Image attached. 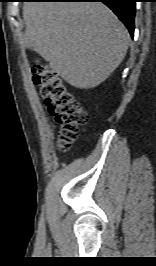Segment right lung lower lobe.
Here are the masks:
<instances>
[{
  "label": "right lung lower lobe",
  "instance_id": "98d812e1",
  "mask_svg": "<svg viewBox=\"0 0 156 266\" xmlns=\"http://www.w3.org/2000/svg\"><path fill=\"white\" fill-rule=\"evenodd\" d=\"M52 2H103L125 24L130 34L134 32V17L136 0H36Z\"/></svg>",
  "mask_w": 156,
  "mask_h": 266
}]
</instances>
